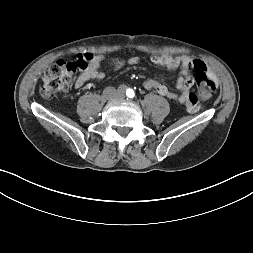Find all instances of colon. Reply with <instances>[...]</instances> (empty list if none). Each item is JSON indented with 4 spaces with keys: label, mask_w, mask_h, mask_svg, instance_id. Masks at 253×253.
I'll use <instances>...</instances> for the list:
<instances>
[{
    "label": "colon",
    "mask_w": 253,
    "mask_h": 253,
    "mask_svg": "<svg viewBox=\"0 0 253 253\" xmlns=\"http://www.w3.org/2000/svg\"><path fill=\"white\" fill-rule=\"evenodd\" d=\"M91 58L92 55L86 53L78 56L75 60H59L51 65L42 78L40 95L44 98H51L66 89L74 75L87 69ZM192 67L196 72L194 80L198 87L199 99L208 98L214 89V81L207 76L206 66L203 62L194 60Z\"/></svg>",
    "instance_id": "5ec220e1"
}]
</instances>
